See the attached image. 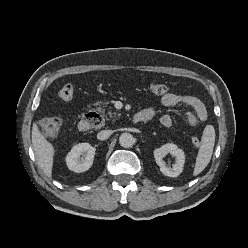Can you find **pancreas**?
Instances as JSON below:
<instances>
[{
	"label": "pancreas",
	"mask_w": 248,
	"mask_h": 248,
	"mask_svg": "<svg viewBox=\"0 0 248 248\" xmlns=\"http://www.w3.org/2000/svg\"><path fill=\"white\" fill-rule=\"evenodd\" d=\"M109 115H110V117H112V114L111 113H109ZM114 115L116 116V113H114Z\"/></svg>",
	"instance_id": "cf45deb5"
}]
</instances>
